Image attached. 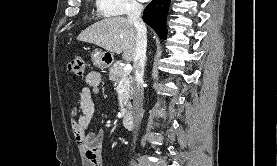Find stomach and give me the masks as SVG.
Instances as JSON below:
<instances>
[{"instance_id": "1", "label": "stomach", "mask_w": 277, "mask_h": 166, "mask_svg": "<svg viewBox=\"0 0 277 166\" xmlns=\"http://www.w3.org/2000/svg\"><path fill=\"white\" fill-rule=\"evenodd\" d=\"M91 60L95 67L105 69L112 64L113 55L110 52H106L101 49H95L91 53Z\"/></svg>"}]
</instances>
